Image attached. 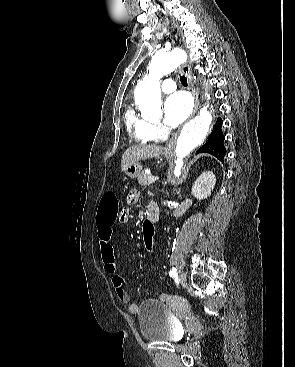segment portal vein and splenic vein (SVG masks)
<instances>
[{
    "instance_id": "18ae733b",
    "label": "portal vein and splenic vein",
    "mask_w": 295,
    "mask_h": 367,
    "mask_svg": "<svg viewBox=\"0 0 295 367\" xmlns=\"http://www.w3.org/2000/svg\"><path fill=\"white\" fill-rule=\"evenodd\" d=\"M158 180V177L157 176H151L150 179H149V182L152 183L154 181Z\"/></svg>"
}]
</instances>
